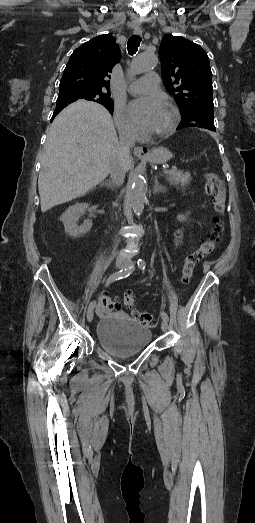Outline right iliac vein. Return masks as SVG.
Here are the masks:
<instances>
[{
  "label": "right iliac vein",
  "mask_w": 255,
  "mask_h": 523,
  "mask_svg": "<svg viewBox=\"0 0 255 523\" xmlns=\"http://www.w3.org/2000/svg\"><path fill=\"white\" fill-rule=\"evenodd\" d=\"M116 268H124L127 266V262L121 258H118L116 260V264H115ZM93 316H94V312H93V309H88L87 311V320L88 322H91L93 320Z\"/></svg>",
  "instance_id": "obj_1"
}]
</instances>
